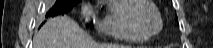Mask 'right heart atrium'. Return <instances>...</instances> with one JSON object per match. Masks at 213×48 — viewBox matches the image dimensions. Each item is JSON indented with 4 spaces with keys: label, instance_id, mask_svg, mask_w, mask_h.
I'll return each mask as SVG.
<instances>
[{
    "label": "right heart atrium",
    "instance_id": "obj_1",
    "mask_svg": "<svg viewBox=\"0 0 213 48\" xmlns=\"http://www.w3.org/2000/svg\"><path fill=\"white\" fill-rule=\"evenodd\" d=\"M82 15L84 18L89 19L92 16H94V10L92 8V6L88 3L85 4L82 8Z\"/></svg>",
    "mask_w": 213,
    "mask_h": 48
}]
</instances>
